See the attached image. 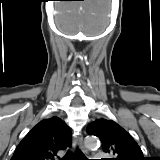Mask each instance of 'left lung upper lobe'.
<instances>
[{
	"instance_id": "left-lung-upper-lobe-1",
	"label": "left lung upper lobe",
	"mask_w": 160,
	"mask_h": 160,
	"mask_svg": "<svg viewBox=\"0 0 160 160\" xmlns=\"http://www.w3.org/2000/svg\"><path fill=\"white\" fill-rule=\"evenodd\" d=\"M86 131L99 137L103 151L114 156L106 160H146L132 136L112 120L97 119Z\"/></svg>"
}]
</instances>
